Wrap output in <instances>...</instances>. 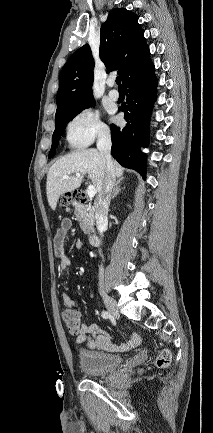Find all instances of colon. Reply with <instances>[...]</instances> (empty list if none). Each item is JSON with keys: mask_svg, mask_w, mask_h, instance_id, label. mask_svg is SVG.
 Wrapping results in <instances>:
<instances>
[{"mask_svg": "<svg viewBox=\"0 0 213 433\" xmlns=\"http://www.w3.org/2000/svg\"><path fill=\"white\" fill-rule=\"evenodd\" d=\"M85 197V194L81 191H75L71 197H64L61 199L62 206H68L70 204L71 198L78 201ZM62 319L66 327L71 332H77L82 324L81 312L74 306H66L62 312ZM172 360V353L169 349H163L158 357L155 359L154 363L160 368L168 367Z\"/></svg>", "mask_w": 213, "mask_h": 433, "instance_id": "obj_1", "label": "colon"}]
</instances>
